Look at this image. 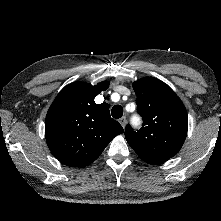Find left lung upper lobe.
I'll return each instance as SVG.
<instances>
[{
  "label": "left lung upper lobe",
  "mask_w": 221,
  "mask_h": 221,
  "mask_svg": "<svg viewBox=\"0 0 221 221\" xmlns=\"http://www.w3.org/2000/svg\"><path fill=\"white\" fill-rule=\"evenodd\" d=\"M141 129L125 128V138L138 156L150 164L167 161L181 149L187 134V111L164 82L145 77L133 83Z\"/></svg>",
  "instance_id": "obj_1"
}]
</instances>
